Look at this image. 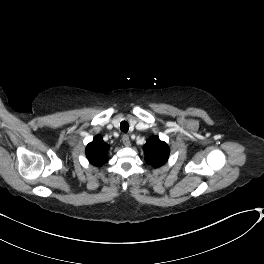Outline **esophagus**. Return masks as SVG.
Here are the masks:
<instances>
[{"label":"esophagus","mask_w":264,"mask_h":264,"mask_svg":"<svg viewBox=\"0 0 264 264\" xmlns=\"http://www.w3.org/2000/svg\"><path fill=\"white\" fill-rule=\"evenodd\" d=\"M122 141H123V144L126 146V147H129L131 145L130 143V138L127 134H124L122 136Z\"/></svg>","instance_id":"34e87169"}]
</instances>
